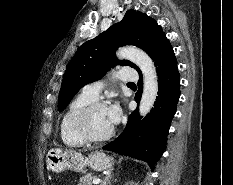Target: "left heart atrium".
<instances>
[{"instance_id":"1","label":"left heart atrium","mask_w":233,"mask_h":185,"mask_svg":"<svg viewBox=\"0 0 233 185\" xmlns=\"http://www.w3.org/2000/svg\"><path fill=\"white\" fill-rule=\"evenodd\" d=\"M107 113L112 125L116 124L119 121L121 116V110L118 104H112L110 107H108Z\"/></svg>"}]
</instances>
